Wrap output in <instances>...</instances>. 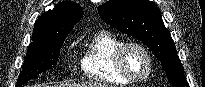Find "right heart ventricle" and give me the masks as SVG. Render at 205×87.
I'll list each match as a JSON object with an SVG mask.
<instances>
[{
	"label": "right heart ventricle",
	"mask_w": 205,
	"mask_h": 87,
	"mask_svg": "<svg viewBox=\"0 0 205 87\" xmlns=\"http://www.w3.org/2000/svg\"><path fill=\"white\" fill-rule=\"evenodd\" d=\"M123 43L117 35L99 31L86 44L81 67L87 79L100 84L127 85L130 82L115 69L113 56Z\"/></svg>",
	"instance_id": "obj_1"
}]
</instances>
